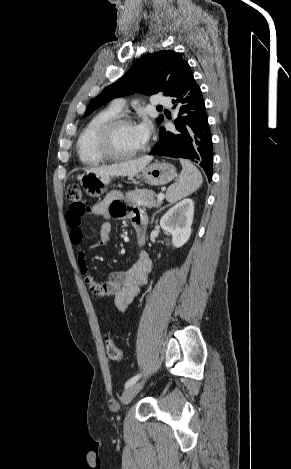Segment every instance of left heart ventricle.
<instances>
[{
	"label": "left heart ventricle",
	"mask_w": 291,
	"mask_h": 469,
	"mask_svg": "<svg viewBox=\"0 0 291 469\" xmlns=\"http://www.w3.org/2000/svg\"><path fill=\"white\" fill-rule=\"evenodd\" d=\"M113 145L117 152L126 154L142 148L145 143L139 137L133 124H124L115 131Z\"/></svg>",
	"instance_id": "obj_1"
}]
</instances>
